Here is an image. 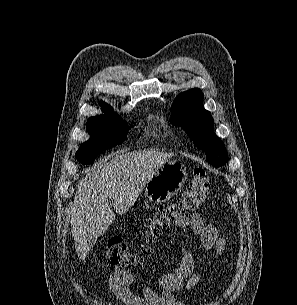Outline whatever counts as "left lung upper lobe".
<instances>
[{
    "label": "left lung upper lobe",
    "mask_w": 297,
    "mask_h": 305,
    "mask_svg": "<svg viewBox=\"0 0 297 305\" xmlns=\"http://www.w3.org/2000/svg\"><path fill=\"white\" fill-rule=\"evenodd\" d=\"M170 122L182 127L197 147L206 152V160L215 166L228 161L223 141L214 133L213 118L203 107V93L194 88L180 93L171 108Z\"/></svg>",
    "instance_id": "left-lung-upper-lobe-1"
}]
</instances>
